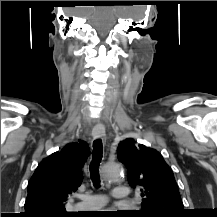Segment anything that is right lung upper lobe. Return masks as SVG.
<instances>
[{
  "label": "right lung upper lobe",
  "mask_w": 217,
  "mask_h": 217,
  "mask_svg": "<svg viewBox=\"0 0 217 217\" xmlns=\"http://www.w3.org/2000/svg\"><path fill=\"white\" fill-rule=\"evenodd\" d=\"M89 152L85 141L79 140L44 159L28 183L23 217L73 215L66 212V200L82 183L81 168Z\"/></svg>",
  "instance_id": "right-lung-upper-lobe-1"
}]
</instances>
